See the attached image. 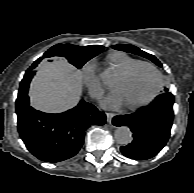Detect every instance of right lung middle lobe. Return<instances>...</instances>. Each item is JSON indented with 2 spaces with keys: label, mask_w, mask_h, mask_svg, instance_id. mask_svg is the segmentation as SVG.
<instances>
[{
  "label": "right lung middle lobe",
  "mask_w": 194,
  "mask_h": 193,
  "mask_svg": "<svg viewBox=\"0 0 194 193\" xmlns=\"http://www.w3.org/2000/svg\"><path fill=\"white\" fill-rule=\"evenodd\" d=\"M55 51H59L62 57H65L72 65L76 66L77 68H81L88 60L97 55V53L85 54L62 48H57ZM28 87L29 85H24L22 81L20 84L19 94L27 93Z\"/></svg>",
  "instance_id": "1"
}]
</instances>
